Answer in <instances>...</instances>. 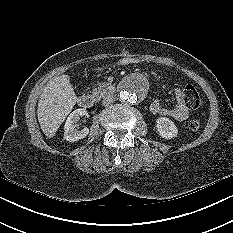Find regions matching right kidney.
I'll list each match as a JSON object with an SVG mask.
<instances>
[{"label":"right kidney","instance_id":"ca27d5eb","mask_svg":"<svg viewBox=\"0 0 233 233\" xmlns=\"http://www.w3.org/2000/svg\"><path fill=\"white\" fill-rule=\"evenodd\" d=\"M88 116V113L85 109H76L74 110L69 117L67 118L65 125H64V139L69 142L78 141L80 139L85 138L88 133L89 129L84 127L83 129L79 130L77 123L81 116Z\"/></svg>","mask_w":233,"mask_h":233}]
</instances>
